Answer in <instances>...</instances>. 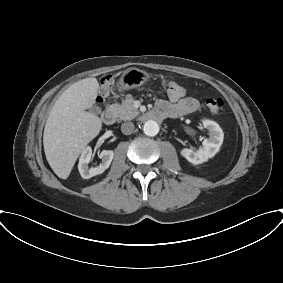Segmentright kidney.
I'll return each mask as SVG.
<instances>
[{
	"mask_svg": "<svg viewBox=\"0 0 283 283\" xmlns=\"http://www.w3.org/2000/svg\"><path fill=\"white\" fill-rule=\"evenodd\" d=\"M92 149L91 147H86L79 159L78 170L81 174V177L84 179H89L93 176L102 174L111 164L114 153L111 150H103L99 154V158L102 160L99 166L89 168L88 164L91 161L92 157Z\"/></svg>",
	"mask_w": 283,
	"mask_h": 283,
	"instance_id": "obj_1",
	"label": "right kidney"
}]
</instances>
